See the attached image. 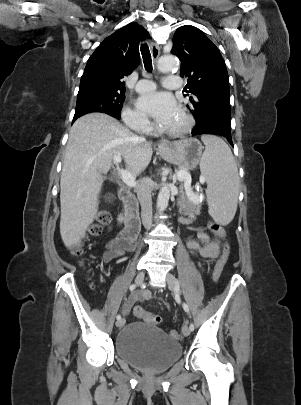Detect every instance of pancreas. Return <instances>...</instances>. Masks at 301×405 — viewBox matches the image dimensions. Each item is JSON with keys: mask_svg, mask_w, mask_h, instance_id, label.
I'll use <instances>...</instances> for the list:
<instances>
[{"mask_svg": "<svg viewBox=\"0 0 301 405\" xmlns=\"http://www.w3.org/2000/svg\"><path fill=\"white\" fill-rule=\"evenodd\" d=\"M179 171H186L187 169L180 168ZM178 205L183 209L186 213H199L200 206L198 203L192 201L188 195L183 190V185L179 186V197L177 199Z\"/></svg>", "mask_w": 301, "mask_h": 405, "instance_id": "pancreas-1", "label": "pancreas"}]
</instances>
